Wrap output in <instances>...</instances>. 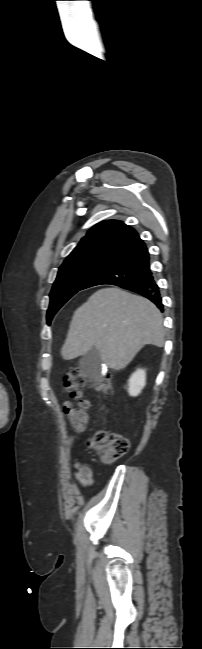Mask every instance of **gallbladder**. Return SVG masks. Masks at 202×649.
I'll list each match as a JSON object with an SVG mask.
<instances>
[{
    "mask_svg": "<svg viewBox=\"0 0 202 649\" xmlns=\"http://www.w3.org/2000/svg\"><path fill=\"white\" fill-rule=\"evenodd\" d=\"M79 370L83 377L89 380H97L102 375L101 353L93 346L86 352L79 361Z\"/></svg>",
    "mask_w": 202,
    "mask_h": 649,
    "instance_id": "bac80fb5",
    "label": "gallbladder"
}]
</instances>
